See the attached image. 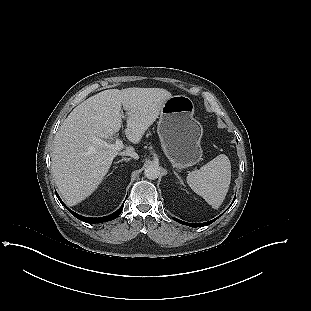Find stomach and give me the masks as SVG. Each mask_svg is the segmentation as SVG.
<instances>
[{"label": "stomach", "mask_w": 311, "mask_h": 311, "mask_svg": "<svg viewBox=\"0 0 311 311\" xmlns=\"http://www.w3.org/2000/svg\"><path fill=\"white\" fill-rule=\"evenodd\" d=\"M157 126L162 149L173 167L185 169L202 159L203 129L193 117L194 103L185 95L167 99L160 110Z\"/></svg>", "instance_id": "1"}]
</instances>
